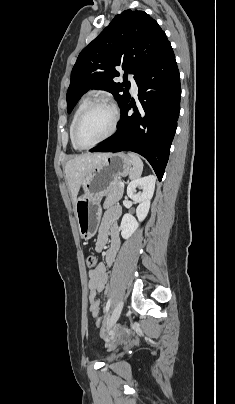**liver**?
Returning a JSON list of instances; mask_svg holds the SVG:
<instances>
[{
    "label": "liver",
    "mask_w": 235,
    "mask_h": 404,
    "mask_svg": "<svg viewBox=\"0 0 235 404\" xmlns=\"http://www.w3.org/2000/svg\"><path fill=\"white\" fill-rule=\"evenodd\" d=\"M108 153H86L69 160L65 166L66 180L69 185L73 204L84 178L107 157Z\"/></svg>",
    "instance_id": "liver-1"
}]
</instances>
